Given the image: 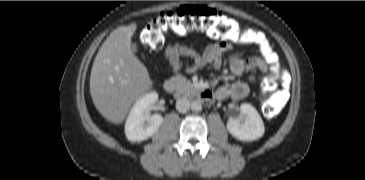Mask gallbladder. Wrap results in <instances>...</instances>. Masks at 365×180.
Listing matches in <instances>:
<instances>
[{
  "instance_id": "1",
  "label": "gallbladder",
  "mask_w": 365,
  "mask_h": 180,
  "mask_svg": "<svg viewBox=\"0 0 365 180\" xmlns=\"http://www.w3.org/2000/svg\"><path fill=\"white\" fill-rule=\"evenodd\" d=\"M131 48H132L133 52H137L138 51V46L135 43H132L131 44Z\"/></svg>"
}]
</instances>
